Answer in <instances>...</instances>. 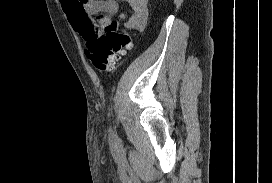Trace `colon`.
I'll use <instances>...</instances> for the list:
<instances>
[{
  "instance_id": "obj_1",
  "label": "colon",
  "mask_w": 272,
  "mask_h": 183,
  "mask_svg": "<svg viewBox=\"0 0 272 183\" xmlns=\"http://www.w3.org/2000/svg\"><path fill=\"white\" fill-rule=\"evenodd\" d=\"M112 25H118L114 22ZM131 47V38L123 29L108 30V34L96 36L88 41L86 55L96 69L112 73L118 61Z\"/></svg>"
}]
</instances>
